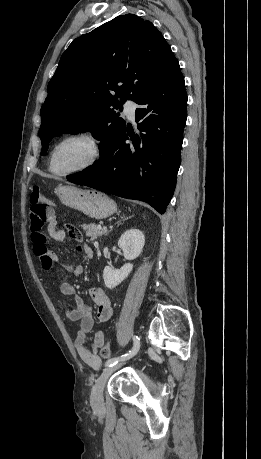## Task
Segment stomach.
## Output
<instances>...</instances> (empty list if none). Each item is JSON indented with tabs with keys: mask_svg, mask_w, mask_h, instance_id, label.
<instances>
[{
	"mask_svg": "<svg viewBox=\"0 0 261 459\" xmlns=\"http://www.w3.org/2000/svg\"><path fill=\"white\" fill-rule=\"evenodd\" d=\"M55 193L63 205L94 219L107 218L117 211L116 203L96 190L67 185L57 187Z\"/></svg>",
	"mask_w": 261,
	"mask_h": 459,
	"instance_id": "0dacf381",
	"label": "stomach"
}]
</instances>
